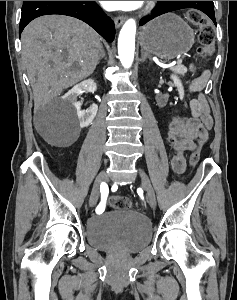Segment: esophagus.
<instances>
[{
  "label": "esophagus",
  "mask_w": 237,
  "mask_h": 300,
  "mask_svg": "<svg viewBox=\"0 0 237 300\" xmlns=\"http://www.w3.org/2000/svg\"><path fill=\"white\" fill-rule=\"evenodd\" d=\"M124 21H125V17L124 16H117L114 19L116 28H120V26H122V24L124 23Z\"/></svg>",
  "instance_id": "obj_1"
}]
</instances>
